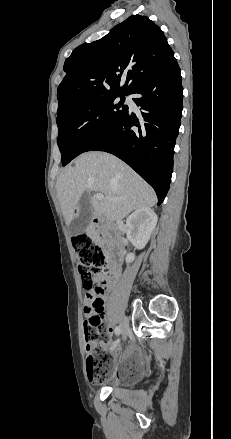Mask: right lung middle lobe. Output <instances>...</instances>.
<instances>
[{"instance_id":"right-lung-middle-lobe-1","label":"right lung middle lobe","mask_w":231,"mask_h":439,"mask_svg":"<svg viewBox=\"0 0 231 439\" xmlns=\"http://www.w3.org/2000/svg\"><path fill=\"white\" fill-rule=\"evenodd\" d=\"M125 95L81 101L57 114L58 139L63 166L68 164L100 135L110 129L128 110ZM120 97L118 102L117 98Z\"/></svg>"}]
</instances>
